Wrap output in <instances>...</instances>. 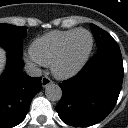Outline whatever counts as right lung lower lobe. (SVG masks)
Masks as SVG:
<instances>
[{"label": "right lung lower lobe", "instance_id": "98d812e1", "mask_svg": "<svg viewBox=\"0 0 128 128\" xmlns=\"http://www.w3.org/2000/svg\"><path fill=\"white\" fill-rule=\"evenodd\" d=\"M21 57L7 53V67L0 78V128L20 124L30 107L33 97L41 90V78L23 73Z\"/></svg>", "mask_w": 128, "mask_h": 128}]
</instances>
